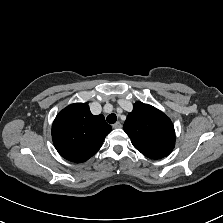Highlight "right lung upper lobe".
<instances>
[{
	"mask_svg": "<svg viewBox=\"0 0 223 223\" xmlns=\"http://www.w3.org/2000/svg\"><path fill=\"white\" fill-rule=\"evenodd\" d=\"M111 126L103 115L94 116L87 103H75L63 109L52 126V139L59 154L72 162H84L101 147Z\"/></svg>",
	"mask_w": 223,
	"mask_h": 223,
	"instance_id": "cb5924a9",
	"label": "right lung upper lobe"
}]
</instances>
